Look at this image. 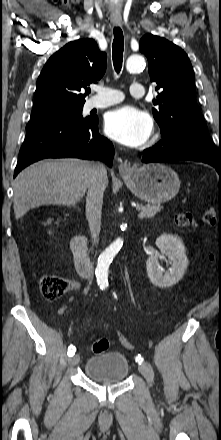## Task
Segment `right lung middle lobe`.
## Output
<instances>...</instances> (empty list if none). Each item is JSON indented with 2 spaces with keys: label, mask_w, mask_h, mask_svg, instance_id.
<instances>
[{
  "label": "right lung middle lobe",
  "mask_w": 221,
  "mask_h": 440,
  "mask_svg": "<svg viewBox=\"0 0 221 440\" xmlns=\"http://www.w3.org/2000/svg\"><path fill=\"white\" fill-rule=\"evenodd\" d=\"M83 106H56L34 110L31 113V120L43 117L59 116L68 119L86 120L82 116Z\"/></svg>",
  "instance_id": "right-lung-middle-lobe-1"
}]
</instances>
